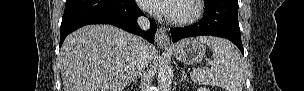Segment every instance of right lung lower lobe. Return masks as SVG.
<instances>
[{"mask_svg":"<svg viewBox=\"0 0 304 91\" xmlns=\"http://www.w3.org/2000/svg\"><path fill=\"white\" fill-rule=\"evenodd\" d=\"M141 15L144 13L134 0H66L60 46L69 33L88 24H112L153 43L157 25L149 19L151 27L143 31L137 24Z\"/></svg>","mask_w":304,"mask_h":91,"instance_id":"obj_1","label":"right lung lower lobe"}]
</instances>
